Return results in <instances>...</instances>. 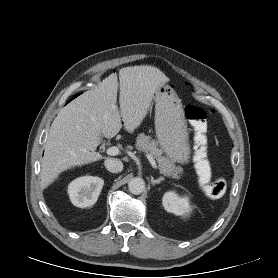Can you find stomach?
I'll return each instance as SVG.
<instances>
[{"instance_id": "1", "label": "stomach", "mask_w": 278, "mask_h": 278, "mask_svg": "<svg viewBox=\"0 0 278 278\" xmlns=\"http://www.w3.org/2000/svg\"><path fill=\"white\" fill-rule=\"evenodd\" d=\"M154 101L158 143L171 160L181 164L188 163L189 135L178 95L171 86L163 84L155 92Z\"/></svg>"}]
</instances>
